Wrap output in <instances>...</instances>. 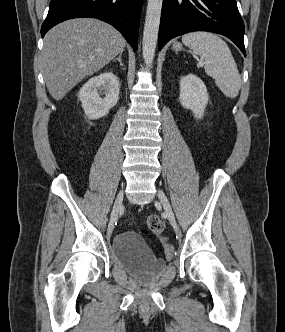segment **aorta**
<instances>
[{"label": "aorta", "instance_id": "762f6f07", "mask_svg": "<svg viewBox=\"0 0 285 332\" xmlns=\"http://www.w3.org/2000/svg\"><path fill=\"white\" fill-rule=\"evenodd\" d=\"M162 3L163 0H148L142 41L143 59L148 66L152 65L155 56Z\"/></svg>", "mask_w": 285, "mask_h": 332}]
</instances>
